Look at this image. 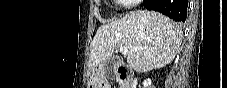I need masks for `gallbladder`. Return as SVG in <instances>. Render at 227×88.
Segmentation results:
<instances>
[{"instance_id": "gallbladder-1", "label": "gallbladder", "mask_w": 227, "mask_h": 88, "mask_svg": "<svg viewBox=\"0 0 227 88\" xmlns=\"http://www.w3.org/2000/svg\"><path fill=\"white\" fill-rule=\"evenodd\" d=\"M118 61L115 59H110L106 66H105V71H104V75L107 78L112 79L114 77V66Z\"/></svg>"}]
</instances>
